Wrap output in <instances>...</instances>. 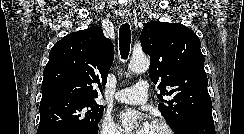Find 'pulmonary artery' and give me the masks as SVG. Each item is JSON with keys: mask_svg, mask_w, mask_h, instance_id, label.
Returning <instances> with one entry per match:
<instances>
[{"mask_svg": "<svg viewBox=\"0 0 244 134\" xmlns=\"http://www.w3.org/2000/svg\"><path fill=\"white\" fill-rule=\"evenodd\" d=\"M148 83L139 81L134 86L122 89L115 94V99L126 104H142L147 100Z\"/></svg>", "mask_w": 244, "mask_h": 134, "instance_id": "1", "label": "pulmonary artery"}]
</instances>
